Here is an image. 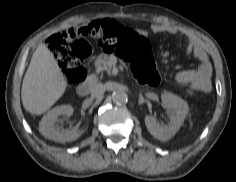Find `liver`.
Segmentation results:
<instances>
[{
	"mask_svg": "<svg viewBox=\"0 0 236 182\" xmlns=\"http://www.w3.org/2000/svg\"><path fill=\"white\" fill-rule=\"evenodd\" d=\"M66 87V79L53 53L40 43L31 57L22 82L23 107L31 114L41 115L62 97Z\"/></svg>",
	"mask_w": 236,
	"mask_h": 182,
	"instance_id": "6515ba94",
	"label": "liver"
}]
</instances>
